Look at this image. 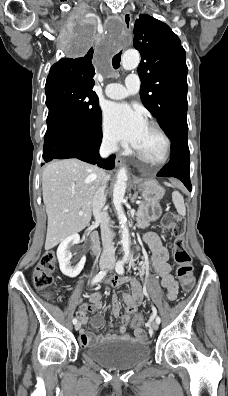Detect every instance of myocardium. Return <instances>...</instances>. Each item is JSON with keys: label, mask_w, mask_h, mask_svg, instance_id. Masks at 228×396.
Instances as JSON below:
<instances>
[{"label": "myocardium", "mask_w": 228, "mask_h": 396, "mask_svg": "<svg viewBox=\"0 0 228 396\" xmlns=\"http://www.w3.org/2000/svg\"><path fill=\"white\" fill-rule=\"evenodd\" d=\"M147 126H149L150 128L154 129L155 131H157L161 137L163 138L164 142H165V151L163 156L158 159V160H151L148 159L147 157H145L144 155H142L137 149H135V154L137 156V158L142 161L143 163L150 165V166H162L164 165L170 158L171 156V151H172V143H171V139L169 138V136L167 135V133L164 131V129L158 125L155 122H149L147 124Z\"/></svg>", "instance_id": "f54148a6"}]
</instances>
